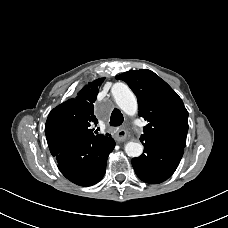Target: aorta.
I'll return each mask as SVG.
<instances>
[{"instance_id":"1","label":"aorta","mask_w":228,"mask_h":228,"mask_svg":"<svg viewBox=\"0 0 228 228\" xmlns=\"http://www.w3.org/2000/svg\"><path fill=\"white\" fill-rule=\"evenodd\" d=\"M112 94L119 108L129 116H134L138 111L137 99L130 88L124 83H116ZM125 152L130 157H139L143 152V145L138 142H128Z\"/></svg>"}]
</instances>
